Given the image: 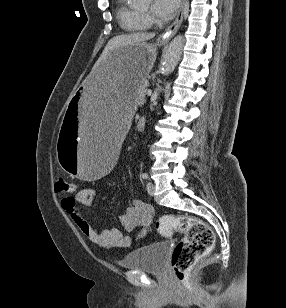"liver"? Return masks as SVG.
Instances as JSON below:
<instances>
[{
  "label": "liver",
  "mask_w": 286,
  "mask_h": 308,
  "mask_svg": "<svg viewBox=\"0 0 286 308\" xmlns=\"http://www.w3.org/2000/svg\"><path fill=\"white\" fill-rule=\"evenodd\" d=\"M155 37V33H131L125 35H118L113 37L106 45L101 56L95 63L93 70L96 69L100 63L115 49L127 45L142 43ZM92 70V71H93Z\"/></svg>",
  "instance_id": "6515ba94"
}]
</instances>
